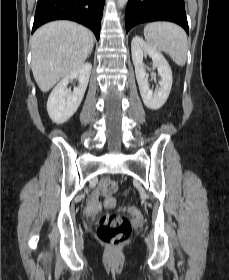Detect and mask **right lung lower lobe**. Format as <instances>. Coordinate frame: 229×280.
Here are the masks:
<instances>
[{"label":"right lung lower lobe","mask_w":229,"mask_h":280,"mask_svg":"<svg viewBox=\"0 0 229 280\" xmlns=\"http://www.w3.org/2000/svg\"><path fill=\"white\" fill-rule=\"evenodd\" d=\"M105 0H38L32 32L53 20L76 21L90 28L97 40Z\"/></svg>","instance_id":"right-lung-lower-lobe-1"}]
</instances>
